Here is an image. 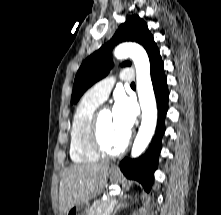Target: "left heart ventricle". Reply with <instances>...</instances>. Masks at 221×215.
<instances>
[{"label":"left heart ventricle","mask_w":221,"mask_h":215,"mask_svg":"<svg viewBox=\"0 0 221 215\" xmlns=\"http://www.w3.org/2000/svg\"><path fill=\"white\" fill-rule=\"evenodd\" d=\"M101 138L105 147L111 151L120 149L127 136L122 134L115 126L112 111H103L100 122Z\"/></svg>","instance_id":"b2bd125f"}]
</instances>
